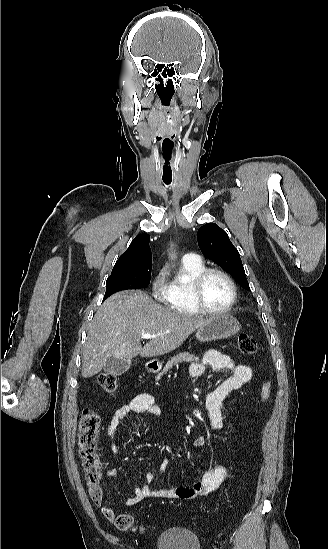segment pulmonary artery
<instances>
[{
	"label": "pulmonary artery",
	"mask_w": 328,
	"mask_h": 549,
	"mask_svg": "<svg viewBox=\"0 0 328 549\" xmlns=\"http://www.w3.org/2000/svg\"><path fill=\"white\" fill-rule=\"evenodd\" d=\"M192 256H193L192 253H185V254L183 255V258L188 259V258H190V257H192Z\"/></svg>",
	"instance_id": "1"
}]
</instances>
